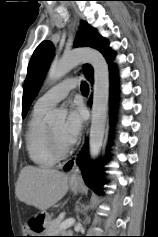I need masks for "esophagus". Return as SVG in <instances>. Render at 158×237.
I'll use <instances>...</instances> for the list:
<instances>
[{
  "label": "esophagus",
  "mask_w": 158,
  "mask_h": 237,
  "mask_svg": "<svg viewBox=\"0 0 158 237\" xmlns=\"http://www.w3.org/2000/svg\"><path fill=\"white\" fill-rule=\"evenodd\" d=\"M79 176H80L79 166H78L77 162L75 161L72 169L70 170V178H71V180H75V179L79 178Z\"/></svg>",
  "instance_id": "obj_1"
}]
</instances>
